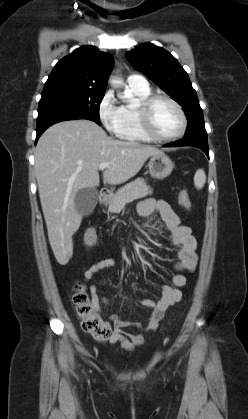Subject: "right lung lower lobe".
Segmentation results:
<instances>
[{"label":"right lung lower lobe","mask_w":248,"mask_h":419,"mask_svg":"<svg viewBox=\"0 0 248 419\" xmlns=\"http://www.w3.org/2000/svg\"><path fill=\"white\" fill-rule=\"evenodd\" d=\"M75 119H88L92 120L90 117L83 113L79 112H57V113H50L42 116H38L37 118V136L35 142L41 136V134L51 125L65 121V120H75ZM93 121V120H92Z\"/></svg>","instance_id":"98d812e1"}]
</instances>
